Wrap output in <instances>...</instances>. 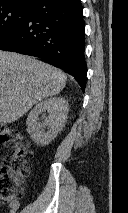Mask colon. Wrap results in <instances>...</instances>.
Wrapping results in <instances>:
<instances>
[{
	"label": "colon",
	"mask_w": 128,
	"mask_h": 213,
	"mask_svg": "<svg viewBox=\"0 0 128 213\" xmlns=\"http://www.w3.org/2000/svg\"><path fill=\"white\" fill-rule=\"evenodd\" d=\"M0 143L12 150L0 165V204H3L22 197V182L29 174L28 163L32 152L19 130L1 122Z\"/></svg>",
	"instance_id": "colon-1"
}]
</instances>
